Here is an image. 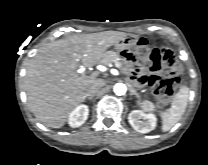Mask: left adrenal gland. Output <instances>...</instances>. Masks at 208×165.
<instances>
[{"label":"left adrenal gland","instance_id":"a2214340","mask_svg":"<svg viewBox=\"0 0 208 165\" xmlns=\"http://www.w3.org/2000/svg\"><path fill=\"white\" fill-rule=\"evenodd\" d=\"M130 95H135L138 99L140 98L139 94L132 87H130Z\"/></svg>","mask_w":208,"mask_h":165}]
</instances>
